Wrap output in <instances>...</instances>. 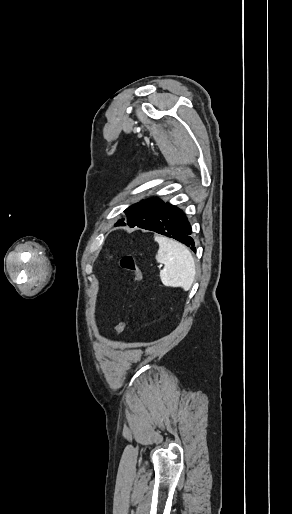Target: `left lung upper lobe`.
<instances>
[{
	"instance_id": "5c2ea615",
	"label": "left lung upper lobe",
	"mask_w": 292,
	"mask_h": 514,
	"mask_svg": "<svg viewBox=\"0 0 292 514\" xmlns=\"http://www.w3.org/2000/svg\"><path fill=\"white\" fill-rule=\"evenodd\" d=\"M166 203L159 198H150L142 200L139 203L128 207L124 213L126 214V222L129 226L145 229L153 223L160 213L164 210ZM125 222L119 220L115 226H124Z\"/></svg>"
}]
</instances>
